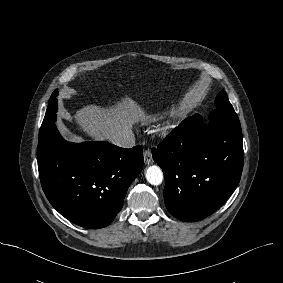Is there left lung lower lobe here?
<instances>
[{"label":"left lung lower lobe","mask_w":283,"mask_h":283,"mask_svg":"<svg viewBox=\"0 0 283 283\" xmlns=\"http://www.w3.org/2000/svg\"><path fill=\"white\" fill-rule=\"evenodd\" d=\"M152 153L163 170L167 210L182 221L202 220L240 181L244 152L239 118L234 109L224 108L211 113L208 126L198 114L188 117Z\"/></svg>","instance_id":"left-lung-lower-lobe-1"}]
</instances>
